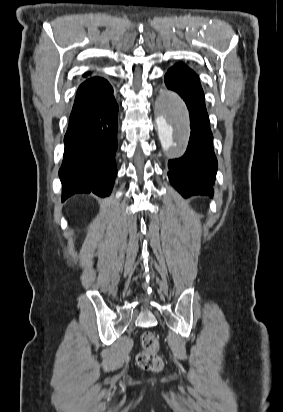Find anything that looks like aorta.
<instances>
[{
    "label": "aorta",
    "mask_w": 283,
    "mask_h": 412,
    "mask_svg": "<svg viewBox=\"0 0 283 412\" xmlns=\"http://www.w3.org/2000/svg\"><path fill=\"white\" fill-rule=\"evenodd\" d=\"M166 105L170 117L160 115L156 119L158 135L164 150L177 148L181 140L187 137L188 111L183 100L173 93H168Z\"/></svg>",
    "instance_id": "1"
}]
</instances>
